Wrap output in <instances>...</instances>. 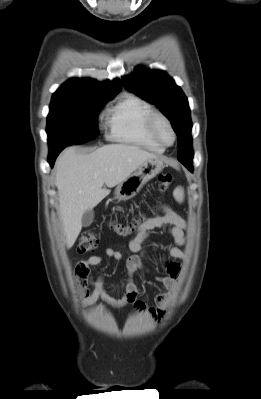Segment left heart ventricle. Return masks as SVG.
I'll return each mask as SVG.
<instances>
[{
	"mask_svg": "<svg viewBox=\"0 0 261 399\" xmlns=\"http://www.w3.org/2000/svg\"><path fill=\"white\" fill-rule=\"evenodd\" d=\"M157 132L159 134V136L161 137V139L165 142V143H171L173 140V135L171 130L169 129L168 125L162 121L159 120L157 123Z\"/></svg>",
	"mask_w": 261,
	"mask_h": 399,
	"instance_id": "obj_1",
	"label": "left heart ventricle"
}]
</instances>
